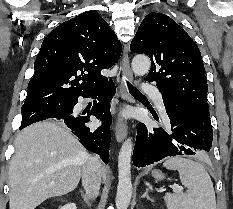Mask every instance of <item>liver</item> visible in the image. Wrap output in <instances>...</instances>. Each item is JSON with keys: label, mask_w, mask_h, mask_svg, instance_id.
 <instances>
[{"label": "liver", "mask_w": 233, "mask_h": 209, "mask_svg": "<svg viewBox=\"0 0 233 209\" xmlns=\"http://www.w3.org/2000/svg\"><path fill=\"white\" fill-rule=\"evenodd\" d=\"M9 164L10 209H35L79 184L89 154L62 124L44 121L19 133ZM101 174L106 175L105 167Z\"/></svg>", "instance_id": "6515ba94"}]
</instances>
